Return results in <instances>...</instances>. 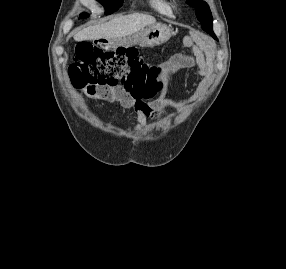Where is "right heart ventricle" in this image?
<instances>
[{"instance_id": "e07e8e85", "label": "right heart ventricle", "mask_w": 286, "mask_h": 269, "mask_svg": "<svg viewBox=\"0 0 286 269\" xmlns=\"http://www.w3.org/2000/svg\"><path fill=\"white\" fill-rule=\"evenodd\" d=\"M145 5L162 16H171L173 14L170 0H146Z\"/></svg>"}]
</instances>
